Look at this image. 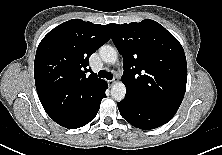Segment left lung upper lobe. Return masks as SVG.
<instances>
[{
    "instance_id": "1",
    "label": "left lung upper lobe",
    "mask_w": 222,
    "mask_h": 155,
    "mask_svg": "<svg viewBox=\"0 0 222 155\" xmlns=\"http://www.w3.org/2000/svg\"><path fill=\"white\" fill-rule=\"evenodd\" d=\"M108 27L123 56L125 97L176 113L187 82L186 57L179 41L151 19Z\"/></svg>"
}]
</instances>
